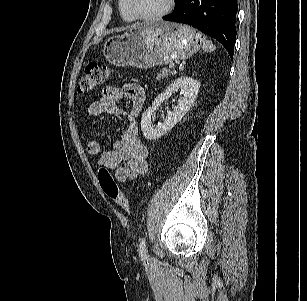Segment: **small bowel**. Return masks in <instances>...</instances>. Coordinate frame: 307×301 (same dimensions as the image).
Returning <instances> with one entry per match:
<instances>
[{
    "mask_svg": "<svg viewBox=\"0 0 307 301\" xmlns=\"http://www.w3.org/2000/svg\"><path fill=\"white\" fill-rule=\"evenodd\" d=\"M123 99L130 103L128 112H123L118 106ZM144 101V89L138 84L107 86L103 89L101 98L90 103L87 108L90 118L110 114L127 120L122 138L115 142L111 151L103 150L98 140H90L87 145L89 154L98 157L100 166L114 170L116 180L121 183L133 180L148 171L149 152L139 139L134 122L143 109Z\"/></svg>",
    "mask_w": 307,
    "mask_h": 301,
    "instance_id": "1",
    "label": "small bowel"
}]
</instances>
